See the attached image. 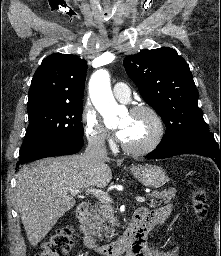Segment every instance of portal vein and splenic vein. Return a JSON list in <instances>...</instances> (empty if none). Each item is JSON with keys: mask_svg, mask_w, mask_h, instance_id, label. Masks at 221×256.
I'll return each mask as SVG.
<instances>
[{"mask_svg": "<svg viewBox=\"0 0 221 256\" xmlns=\"http://www.w3.org/2000/svg\"><path fill=\"white\" fill-rule=\"evenodd\" d=\"M81 189H75L71 190L70 194L71 195H76L78 193H81ZM87 193L94 195L97 197L100 201H105V202H112V199L109 197L107 193L102 191L101 189H95V188H88L85 190ZM135 200L139 203H144L146 201L145 197L138 196L135 198Z\"/></svg>", "mask_w": 221, "mask_h": 256, "instance_id": "1", "label": "portal vein and splenic vein"}]
</instances>
